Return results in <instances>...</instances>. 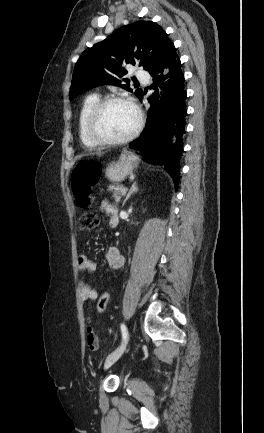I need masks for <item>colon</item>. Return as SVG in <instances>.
Returning <instances> with one entry per match:
<instances>
[{
	"instance_id": "5ec220e1",
	"label": "colon",
	"mask_w": 264,
	"mask_h": 433,
	"mask_svg": "<svg viewBox=\"0 0 264 433\" xmlns=\"http://www.w3.org/2000/svg\"><path fill=\"white\" fill-rule=\"evenodd\" d=\"M101 166L97 161H86L78 164L71 176V186L78 205L87 208L91 202L92 187L100 179ZM98 215L91 210L85 211L79 221L80 229L90 231L98 225ZM111 300V293L104 292L97 302V312L99 315L105 313Z\"/></svg>"
}]
</instances>
